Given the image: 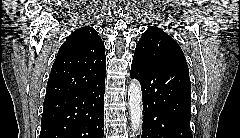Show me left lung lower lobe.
I'll list each match as a JSON object with an SVG mask.
<instances>
[{"label":"left lung lower lobe","mask_w":240,"mask_h":138,"mask_svg":"<svg viewBox=\"0 0 240 138\" xmlns=\"http://www.w3.org/2000/svg\"><path fill=\"white\" fill-rule=\"evenodd\" d=\"M130 77L140 81L143 92L141 138H193L187 66L146 64L133 58Z\"/></svg>","instance_id":"0a47b994"}]
</instances>
